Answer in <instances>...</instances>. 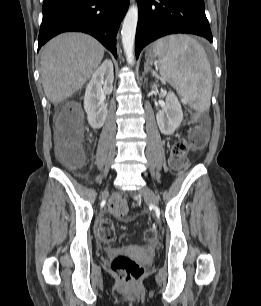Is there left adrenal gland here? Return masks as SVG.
Segmentation results:
<instances>
[{
    "label": "left adrenal gland",
    "mask_w": 261,
    "mask_h": 306,
    "mask_svg": "<svg viewBox=\"0 0 261 306\" xmlns=\"http://www.w3.org/2000/svg\"><path fill=\"white\" fill-rule=\"evenodd\" d=\"M149 71H151L152 75L155 76L156 73L155 71L152 70V68L150 67L148 61L144 64V72L148 73Z\"/></svg>",
    "instance_id": "left-adrenal-gland-1"
}]
</instances>
